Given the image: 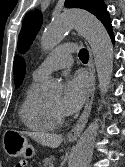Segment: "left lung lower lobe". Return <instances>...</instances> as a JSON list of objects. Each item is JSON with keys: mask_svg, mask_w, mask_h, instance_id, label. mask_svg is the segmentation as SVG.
<instances>
[{"mask_svg": "<svg viewBox=\"0 0 125 167\" xmlns=\"http://www.w3.org/2000/svg\"><path fill=\"white\" fill-rule=\"evenodd\" d=\"M104 26H105V28L107 29V31H108V33H109V35H110V37H111L112 42L114 43L115 38H114V35H113V31H112V27H111V22L107 23V24L104 25Z\"/></svg>", "mask_w": 125, "mask_h": 167, "instance_id": "1", "label": "left lung lower lobe"}]
</instances>
